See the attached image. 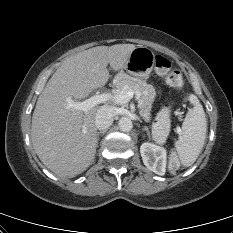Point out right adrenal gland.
Returning a JSON list of instances; mask_svg holds the SVG:
<instances>
[{
	"mask_svg": "<svg viewBox=\"0 0 233 233\" xmlns=\"http://www.w3.org/2000/svg\"><path fill=\"white\" fill-rule=\"evenodd\" d=\"M105 132H106V130L99 131V132L97 133V139L99 140V136H100L101 134H105Z\"/></svg>",
	"mask_w": 233,
	"mask_h": 233,
	"instance_id": "obj_1",
	"label": "right adrenal gland"
}]
</instances>
